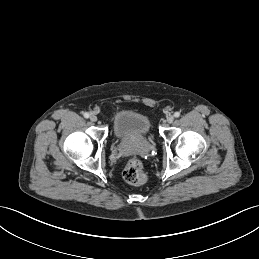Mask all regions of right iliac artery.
Listing matches in <instances>:
<instances>
[{
    "label": "right iliac artery",
    "mask_w": 259,
    "mask_h": 259,
    "mask_svg": "<svg viewBox=\"0 0 259 259\" xmlns=\"http://www.w3.org/2000/svg\"><path fill=\"white\" fill-rule=\"evenodd\" d=\"M83 116H84L85 118H89V113L85 112V113L83 114Z\"/></svg>",
    "instance_id": "obj_1"
}]
</instances>
